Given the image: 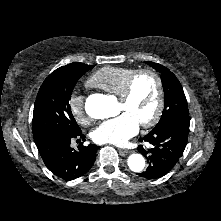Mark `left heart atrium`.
<instances>
[{
    "label": "left heart atrium",
    "mask_w": 221,
    "mask_h": 221,
    "mask_svg": "<svg viewBox=\"0 0 221 221\" xmlns=\"http://www.w3.org/2000/svg\"><path fill=\"white\" fill-rule=\"evenodd\" d=\"M139 130V122L129 113L102 122L92 132V138L97 143L124 145Z\"/></svg>",
    "instance_id": "39dd6f15"
}]
</instances>
